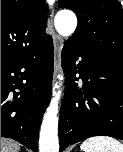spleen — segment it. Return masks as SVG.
I'll return each mask as SVG.
<instances>
[{"label": "spleen", "mask_w": 123, "mask_h": 152, "mask_svg": "<svg viewBox=\"0 0 123 152\" xmlns=\"http://www.w3.org/2000/svg\"><path fill=\"white\" fill-rule=\"evenodd\" d=\"M80 148L83 152H123V144L107 136L91 137Z\"/></svg>", "instance_id": "3e777b00"}]
</instances>
